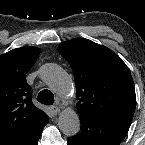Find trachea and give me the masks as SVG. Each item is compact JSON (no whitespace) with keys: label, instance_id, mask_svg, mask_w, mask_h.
Returning <instances> with one entry per match:
<instances>
[{"label":"trachea","instance_id":"3493384b","mask_svg":"<svg viewBox=\"0 0 145 145\" xmlns=\"http://www.w3.org/2000/svg\"><path fill=\"white\" fill-rule=\"evenodd\" d=\"M37 100L42 104L52 105L54 103V95L50 90L44 89L38 94Z\"/></svg>","mask_w":145,"mask_h":145}]
</instances>
